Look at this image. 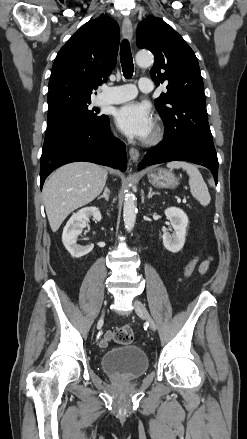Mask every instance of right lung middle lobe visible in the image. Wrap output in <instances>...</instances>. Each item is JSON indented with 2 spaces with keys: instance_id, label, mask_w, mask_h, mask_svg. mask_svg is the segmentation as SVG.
<instances>
[{
  "instance_id": "right-lung-middle-lobe-1",
  "label": "right lung middle lobe",
  "mask_w": 247,
  "mask_h": 439,
  "mask_svg": "<svg viewBox=\"0 0 247 439\" xmlns=\"http://www.w3.org/2000/svg\"><path fill=\"white\" fill-rule=\"evenodd\" d=\"M90 100L70 101L48 110L45 138L60 132L96 127L102 124L107 116L98 115L96 108L90 107Z\"/></svg>"
}]
</instances>
